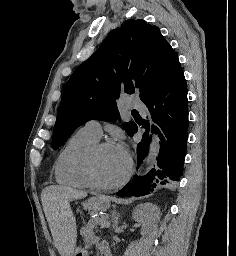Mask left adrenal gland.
Segmentation results:
<instances>
[{
	"mask_svg": "<svg viewBox=\"0 0 236 256\" xmlns=\"http://www.w3.org/2000/svg\"><path fill=\"white\" fill-rule=\"evenodd\" d=\"M119 214H117L115 208L114 210H112L111 212V220H112V228L113 230H115V228H117L118 224H119Z\"/></svg>",
	"mask_w": 236,
	"mask_h": 256,
	"instance_id": "a2214340",
	"label": "left adrenal gland"
}]
</instances>
